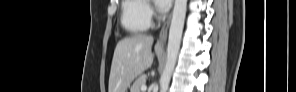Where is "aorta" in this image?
<instances>
[{
    "label": "aorta",
    "instance_id": "1",
    "mask_svg": "<svg viewBox=\"0 0 296 92\" xmlns=\"http://www.w3.org/2000/svg\"><path fill=\"white\" fill-rule=\"evenodd\" d=\"M187 0H175L167 46V61L160 78V92H167L180 49Z\"/></svg>",
    "mask_w": 296,
    "mask_h": 92
}]
</instances>
